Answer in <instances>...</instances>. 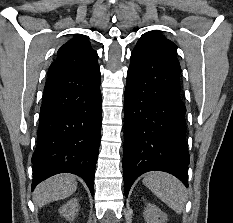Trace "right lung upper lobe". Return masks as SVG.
I'll return each instance as SVG.
<instances>
[{"mask_svg":"<svg viewBox=\"0 0 233 223\" xmlns=\"http://www.w3.org/2000/svg\"><path fill=\"white\" fill-rule=\"evenodd\" d=\"M97 58L86 36L76 34L60 47L57 59L49 67L48 76L87 68L96 64Z\"/></svg>","mask_w":233,"mask_h":223,"instance_id":"obj_1","label":"right lung upper lobe"}]
</instances>
